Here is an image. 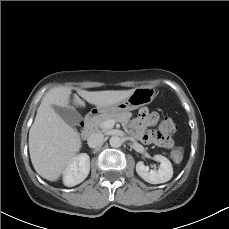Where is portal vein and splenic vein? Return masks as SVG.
Returning a JSON list of instances; mask_svg holds the SVG:
<instances>
[{"label":"portal vein and splenic vein","instance_id":"1","mask_svg":"<svg viewBox=\"0 0 229 229\" xmlns=\"http://www.w3.org/2000/svg\"><path fill=\"white\" fill-rule=\"evenodd\" d=\"M115 123H116V121L111 119V120L105 121V122L102 124V126H103L104 128H113V126L115 125Z\"/></svg>","mask_w":229,"mask_h":229}]
</instances>
